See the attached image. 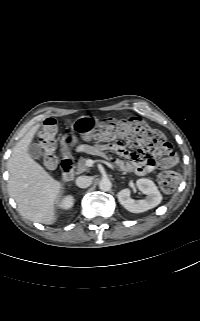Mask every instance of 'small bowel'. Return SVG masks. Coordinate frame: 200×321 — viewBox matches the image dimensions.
<instances>
[{
  "label": "small bowel",
  "instance_id": "1",
  "mask_svg": "<svg viewBox=\"0 0 200 321\" xmlns=\"http://www.w3.org/2000/svg\"><path fill=\"white\" fill-rule=\"evenodd\" d=\"M81 149L94 152H100L105 149H109L110 151L114 150L117 154H121L129 160L111 159L112 167L120 171L134 172L138 175H145L153 171L157 164V161L154 158L141 159L136 154L131 153L128 148H125L120 143L115 145L113 142H110L104 146H85Z\"/></svg>",
  "mask_w": 200,
  "mask_h": 321
}]
</instances>
